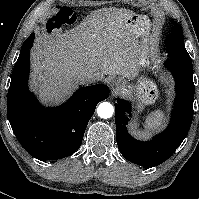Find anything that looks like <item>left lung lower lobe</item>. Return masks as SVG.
<instances>
[{"label":"left lung lower lobe","mask_w":199,"mask_h":199,"mask_svg":"<svg viewBox=\"0 0 199 199\" xmlns=\"http://www.w3.org/2000/svg\"><path fill=\"white\" fill-rule=\"evenodd\" d=\"M164 64L176 82L171 123L164 132L148 142L134 139L126 128L125 112L130 111V103L119 98L115 103L118 148L127 160L144 167L160 165L170 158L186 137L193 119V67L171 58Z\"/></svg>","instance_id":"obj_1"}]
</instances>
